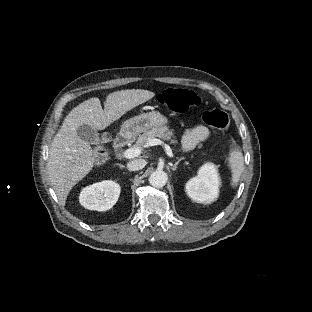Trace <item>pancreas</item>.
<instances>
[{
    "mask_svg": "<svg viewBox=\"0 0 312 312\" xmlns=\"http://www.w3.org/2000/svg\"><path fill=\"white\" fill-rule=\"evenodd\" d=\"M159 137L166 140L170 145L177 146L179 144L176 132L168 127H154L150 130L144 131L142 135L138 138L136 147L141 149L150 145L151 141Z\"/></svg>",
    "mask_w": 312,
    "mask_h": 312,
    "instance_id": "1",
    "label": "pancreas"
}]
</instances>
